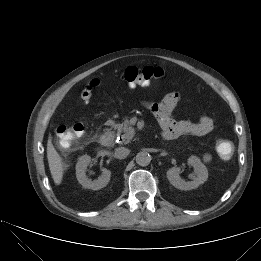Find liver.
<instances>
[{
  "mask_svg": "<svg viewBox=\"0 0 261 261\" xmlns=\"http://www.w3.org/2000/svg\"><path fill=\"white\" fill-rule=\"evenodd\" d=\"M47 159L54 183L60 185L63 179L64 167L62 158L54 148L51 139H48L47 142Z\"/></svg>",
  "mask_w": 261,
  "mask_h": 261,
  "instance_id": "obj_1",
  "label": "liver"
}]
</instances>
